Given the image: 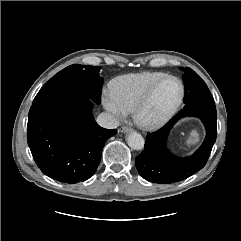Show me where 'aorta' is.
Segmentation results:
<instances>
[{"instance_id": "obj_1", "label": "aorta", "mask_w": 241, "mask_h": 241, "mask_svg": "<svg viewBox=\"0 0 241 241\" xmlns=\"http://www.w3.org/2000/svg\"><path fill=\"white\" fill-rule=\"evenodd\" d=\"M127 142L130 148L134 150H142L144 148L145 140L141 134L137 132H131L128 135Z\"/></svg>"}]
</instances>
